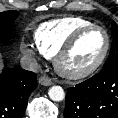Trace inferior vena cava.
<instances>
[{"mask_svg":"<svg viewBox=\"0 0 118 118\" xmlns=\"http://www.w3.org/2000/svg\"><path fill=\"white\" fill-rule=\"evenodd\" d=\"M21 67L25 70H30L33 72L38 71L39 65L34 57H22L20 60Z\"/></svg>","mask_w":118,"mask_h":118,"instance_id":"602c4592","label":"inferior vena cava"}]
</instances>
